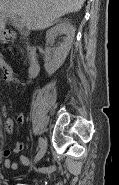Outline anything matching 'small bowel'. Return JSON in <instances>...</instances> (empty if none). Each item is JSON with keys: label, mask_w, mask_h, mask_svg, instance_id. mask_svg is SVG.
<instances>
[{"label": "small bowel", "mask_w": 119, "mask_h": 185, "mask_svg": "<svg viewBox=\"0 0 119 185\" xmlns=\"http://www.w3.org/2000/svg\"><path fill=\"white\" fill-rule=\"evenodd\" d=\"M0 68L2 71V78L5 82L13 83V84H24V82L15 75L14 70L11 67V65L3 59L0 60ZM2 111L5 117V120L3 123V129L6 133H11L13 130V120L7 116L6 108H3ZM17 122L19 124H22L24 122L23 114L18 115ZM24 149H25V145L22 142H17L13 150L5 149L3 151L4 166L9 170H17L19 166L16 162H13L11 160V154L12 152L21 153ZM20 162L23 165H28L29 159L25 155H20ZM54 169H55V166H50L46 168H37L35 170L37 172L46 173V172H51Z\"/></svg>", "instance_id": "c3829d8e"}]
</instances>
